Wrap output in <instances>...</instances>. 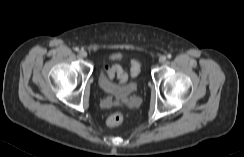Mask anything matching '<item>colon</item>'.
<instances>
[{
	"label": "colon",
	"instance_id": "5ec220e1",
	"mask_svg": "<svg viewBox=\"0 0 244 157\" xmlns=\"http://www.w3.org/2000/svg\"><path fill=\"white\" fill-rule=\"evenodd\" d=\"M106 75L110 78H117L120 84L127 82V73L122 69L121 66L115 64L111 66H105ZM140 73V64L137 60H132L131 62V75L133 77L138 76ZM124 116L122 112H115L107 118V125L109 127H116L123 122Z\"/></svg>",
	"mask_w": 244,
	"mask_h": 157
}]
</instances>
